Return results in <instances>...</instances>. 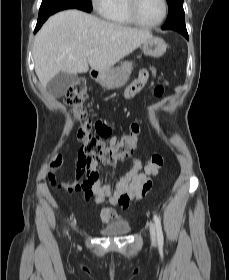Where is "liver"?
<instances>
[{
    "instance_id": "1",
    "label": "liver",
    "mask_w": 229,
    "mask_h": 280,
    "mask_svg": "<svg viewBox=\"0 0 229 280\" xmlns=\"http://www.w3.org/2000/svg\"><path fill=\"white\" fill-rule=\"evenodd\" d=\"M153 37L147 30L104 21L79 10L50 17L36 34L35 72L45 89L58 73L103 72ZM97 50L90 56L86 52Z\"/></svg>"
}]
</instances>
